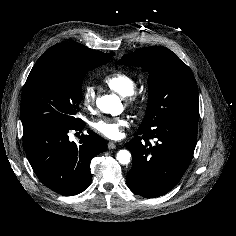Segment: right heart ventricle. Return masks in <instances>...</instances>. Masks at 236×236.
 <instances>
[{
  "mask_svg": "<svg viewBox=\"0 0 236 236\" xmlns=\"http://www.w3.org/2000/svg\"><path fill=\"white\" fill-rule=\"evenodd\" d=\"M103 83L110 90L126 97L135 91L136 81L134 77L123 71H116L104 77Z\"/></svg>",
  "mask_w": 236,
  "mask_h": 236,
  "instance_id": "right-heart-ventricle-1",
  "label": "right heart ventricle"
}]
</instances>
